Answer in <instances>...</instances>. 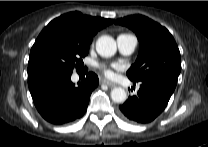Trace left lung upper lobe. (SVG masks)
I'll list each match as a JSON object with an SVG mask.
<instances>
[{
    "instance_id": "left-lung-upper-lobe-1",
    "label": "left lung upper lobe",
    "mask_w": 208,
    "mask_h": 147,
    "mask_svg": "<svg viewBox=\"0 0 208 147\" xmlns=\"http://www.w3.org/2000/svg\"><path fill=\"white\" fill-rule=\"evenodd\" d=\"M115 23L132 29L139 40V54L135 64L127 71L128 78L134 82L160 78L176 85L181 58L170 32L142 15L120 18Z\"/></svg>"
}]
</instances>
